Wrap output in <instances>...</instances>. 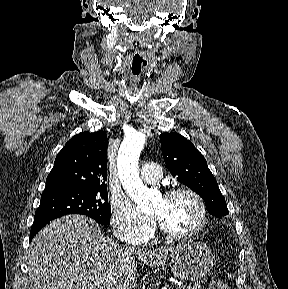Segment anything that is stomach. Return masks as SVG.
<instances>
[{
    "instance_id": "0dacf381",
    "label": "stomach",
    "mask_w": 288,
    "mask_h": 289,
    "mask_svg": "<svg viewBox=\"0 0 288 289\" xmlns=\"http://www.w3.org/2000/svg\"><path fill=\"white\" fill-rule=\"evenodd\" d=\"M214 261L210 248L202 242H189L175 247L170 257L171 270L177 278L193 282L203 278Z\"/></svg>"
}]
</instances>
